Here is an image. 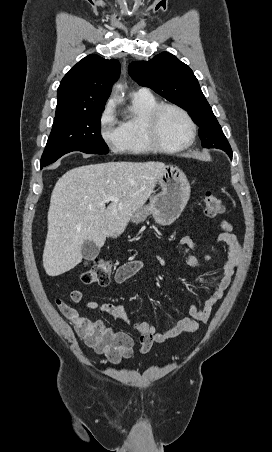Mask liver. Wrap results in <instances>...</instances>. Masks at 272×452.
<instances>
[{"mask_svg": "<svg viewBox=\"0 0 272 452\" xmlns=\"http://www.w3.org/2000/svg\"><path fill=\"white\" fill-rule=\"evenodd\" d=\"M162 162H106L67 171L56 182L48 211L43 266L49 276L61 275L83 258L82 244L99 248L106 237L120 236L131 216L153 193ZM108 195L119 198L105 207Z\"/></svg>", "mask_w": 272, "mask_h": 452, "instance_id": "obj_1", "label": "liver"}]
</instances>
